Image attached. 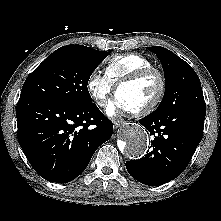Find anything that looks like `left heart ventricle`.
I'll return each mask as SVG.
<instances>
[{
  "mask_svg": "<svg viewBox=\"0 0 221 221\" xmlns=\"http://www.w3.org/2000/svg\"><path fill=\"white\" fill-rule=\"evenodd\" d=\"M159 87L158 77L150 75L136 83L123 86L117 92V96L129 110H136L153 101L159 91Z\"/></svg>",
  "mask_w": 221,
  "mask_h": 221,
  "instance_id": "1",
  "label": "left heart ventricle"
}]
</instances>
